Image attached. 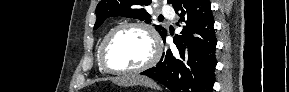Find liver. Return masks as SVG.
I'll use <instances>...</instances> for the list:
<instances>
[{
  "instance_id": "1",
  "label": "liver",
  "mask_w": 289,
  "mask_h": 92,
  "mask_svg": "<svg viewBox=\"0 0 289 92\" xmlns=\"http://www.w3.org/2000/svg\"><path fill=\"white\" fill-rule=\"evenodd\" d=\"M140 82H141V83H149L148 80H147V81H146V80L144 81V79L140 80ZM124 83H126V84H136V83H139V81H138L137 79H133V80L127 79V80L124 81Z\"/></svg>"
}]
</instances>
